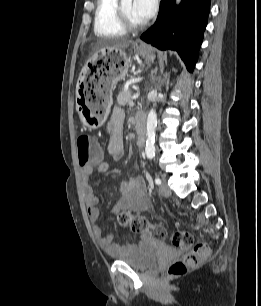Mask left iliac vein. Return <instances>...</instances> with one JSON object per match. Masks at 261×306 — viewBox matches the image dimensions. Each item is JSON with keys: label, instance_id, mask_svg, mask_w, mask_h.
<instances>
[{"label": "left iliac vein", "instance_id": "left-iliac-vein-1", "mask_svg": "<svg viewBox=\"0 0 261 306\" xmlns=\"http://www.w3.org/2000/svg\"><path fill=\"white\" fill-rule=\"evenodd\" d=\"M159 193H160V195H161L162 197H164V198H167V197H169V196L171 195V189H170V187L168 186L166 180H164V181L162 182V184L160 185V187H159Z\"/></svg>", "mask_w": 261, "mask_h": 306}]
</instances>
